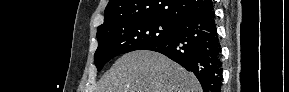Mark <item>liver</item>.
<instances>
[{
	"mask_svg": "<svg viewBox=\"0 0 289 92\" xmlns=\"http://www.w3.org/2000/svg\"><path fill=\"white\" fill-rule=\"evenodd\" d=\"M100 92H201L195 75L166 56L137 50L121 56L103 76Z\"/></svg>",
	"mask_w": 289,
	"mask_h": 92,
	"instance_id": "liver-1",
	"label": "liver"
}]
</instances>
